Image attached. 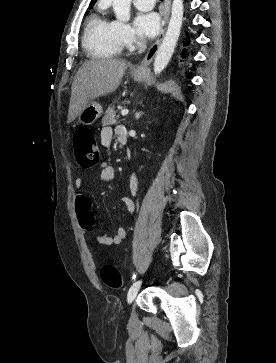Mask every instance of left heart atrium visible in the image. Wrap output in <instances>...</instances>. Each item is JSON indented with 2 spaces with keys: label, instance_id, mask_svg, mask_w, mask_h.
<instances>
[{
  "label": "left heart atrium",
  "instance_id": "obj_1",
  "mask_svg": "<svg viewBox=\"0 0 276 363\" xmlns=\"http://www.w3.org/2000/svg\"><path fill=\"white\" fill-rule=\"evenodd\" d=\"M135 27L141 38H153L160 30L161 20L155 12H139L135 18Z\"/></svg>",
  "mask_w": 276,
  "mask_h": 363
}]
</instances>
